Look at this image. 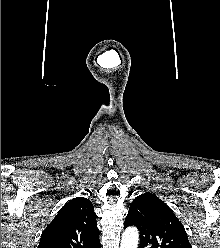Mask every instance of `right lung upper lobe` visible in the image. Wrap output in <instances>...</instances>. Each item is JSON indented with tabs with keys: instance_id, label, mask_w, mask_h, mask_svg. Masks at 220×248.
<instances>
[{
	"instance_id": "1",
	"label": "right lung upper lobe",
	"mask_w": 220,
	"mask_h": 248,
	"mask_svg": "<svg viewBox=\"0 0 220 248\" xmlns=\"http://www.w3.org/2000/svg\"><path fill=\"white\" fill-rule=\"evenodd\" d=\"M98 234L92 202L77 197L66 203L46 227L38 248H97Z\"/></svg>"
}]
</instances>
